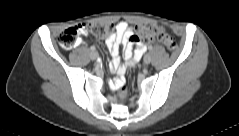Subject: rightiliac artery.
<instances>
[{
    "label": "right iliac artery",
    "mask_w": 239,
    "mask_h": 136,
    "mask_svg": "<svg viewBox=\"0 0 239 136\" xmlns=\"http://www.w3.org/2000/svg\"><path fill=\"white\" fill-rule=\"evenodd\" d=\"M91 50H92V51H95V50H96V47L91 46Z\"/></svg>",
    "instance_id": "obj_1"
}]
</instances>
